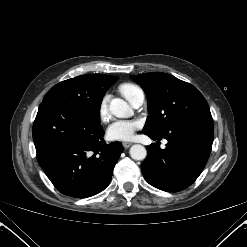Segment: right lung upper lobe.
Segmentation results:
<instances>
[{
  "label": "right lung upper lobe",
  "mask_w": 247,
  "mask_h": 247,
  "mask_svg": "<svg viewBox=\"0 0 247 247\" xmlns=\"http://www.w3.org/2000/svg\"><path fill=\"white\" fill-rule=\"evenodd\" d=\"M95 75L106 88L112 86L117 80L116 77L114 76L101 75V74H95Z\"/></svg>",
  "instance_id": "obj_1"
}]
</instances>
